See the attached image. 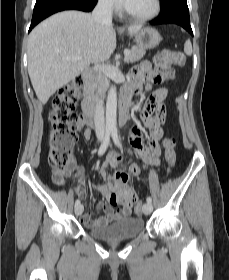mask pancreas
Listing matches in <instances>:
<instances>
[{
	"label": "pancreas",
	"instance_id": "obj_1",
	"mask_svg": "<svg viewBox=\"0 0 229 280\" xmlns=\"http://www.w3.org/2000/svg\"><path fill=\"white\" fill-rule=\"evenodd\" d=\"M145 53H146L145 49L139 48L137 46H133L130 50L129 56L125 59V61L128 63L139 61L140 59H142ZM108 86H109V80L107 78H103L99 88V93L104 94ZM92 91H94V87Z\"/></svg>",
	"mask_w": 229,
	"mask_h": 280
}]
</instances>
